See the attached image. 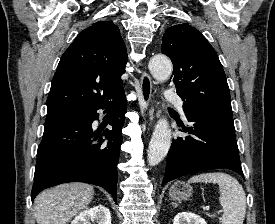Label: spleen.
Listing matches in <instances>:
<instances>
[{
    "label": "spleen",
    "mask_w": 275,
    "mask_h": 224,
    "mask_svg": "<svg viewBox=\"0 0 275 224\" xmlns=\"http://www.w3.org/2000/svg\"><path fill=\"white\" fill-rule=\"evenodd\" d=\"M189 183H217L219 202L224 213L222 224H243L246 213V196L243 187L232 176L222 172L202 173L188 180Z\"/></svg>",
    "instance_id": "obj_1"
}]
</instances>
